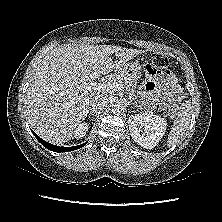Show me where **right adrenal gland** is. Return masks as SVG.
Wrapping results in <instances>:
<instances>
[{"mask_svg": "<svg viewBox=\"0 0 222 222\" xmlns=\"http://www.w3.org/2000/svg\"><path fill=\"white\" fill-rule=\"evenodd\" d=\"M87 115H88V116H91V115H95V114H94L93 112H90V113L87 112L86 116H87Z\"/></svg>", "mask_w": 222, "mask_h": 222, "instance_id": "2a0ac1e0", "label": "right adrenal gland"}]
</instances>
